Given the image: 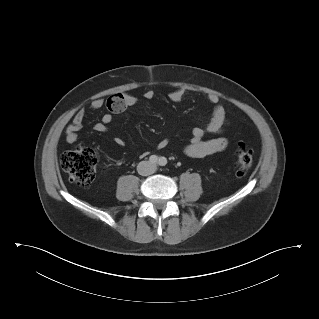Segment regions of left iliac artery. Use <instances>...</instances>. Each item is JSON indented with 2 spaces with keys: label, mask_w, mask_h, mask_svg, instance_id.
Here are the masks:
<instances>
[{
  "label": "left iliac artery",
  "mask_w": 319,
  "mask_h": 319,
  "mask_svg": "<svg viewBox=\"0 0 319 319\" xmlns=\"http://www.w3.org/2000/svg\"><path fill=\"white\" fill-rule=\"evenodd\" d=\"M160 166H165L167 164V159L165 157H160L158 160Z\"/></svg>",
  "instance_id": "1"
}]
</instances>
